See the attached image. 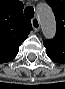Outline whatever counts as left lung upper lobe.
<instances>
[{
	"mask_svg": "<svg viewBox=\"0 0 65 89\" xmlns=\"http://www.w3.org/2000/svg\"><path fill=\"white\" fill-rule=\"evenodd\" d=\"M56 17L57 32L53 40L65 43V0H46Z\"/></svg>",
	"mask_w": 65,
	"mask_h": 89,
	"instance_id": "5c2ea615",
	"label": "left lung upper lobe"
}]
</instances>
